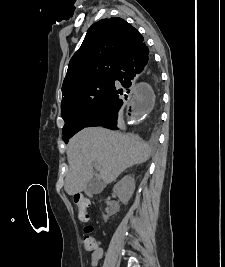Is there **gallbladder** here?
<instances>
[{
    "mask_svg": "<svg viewBox=\"0 0 225 267\" xmlns=\"http://www.w3.org/2000/svg\"><path fill=\"white\" fill-rule=\"evenodd\" d=\"M87 189H88L89 191L94 192V193H96V192L99 191V188L96 187L94 180H91V181L88 183Z\"/></svg>",
    "mask_w": 225,
    "mask_h": 267,
    "instance_id": "bac80fb5",
    "label": "gallbladder"
}]
</instances>
